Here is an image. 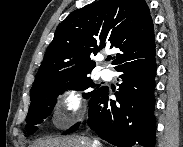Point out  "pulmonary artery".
<instances>
[{
	"instance_id": "obj_1",
	"label": "pulmonary artery",
	"mask_w": 183,
	"mask_h": 147,
	"mask_svg": "<svg viewBox=\"0 0 183 147\" xmlns=\"http://www.w3.org/2000/svg\"><path fill=\"white\" fill-rule=\"evenodd\" d=\"M100 77L104 80H109L112 77V73L109 69H103L100 71Z\"/></svg>"
}]
</instances>
